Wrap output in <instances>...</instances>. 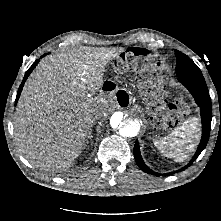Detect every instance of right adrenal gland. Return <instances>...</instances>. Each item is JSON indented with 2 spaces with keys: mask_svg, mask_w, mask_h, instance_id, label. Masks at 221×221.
<instances>
[{
  "mask_svg": "<svg viewBox=\"0 0 221 221\" xmlns=\"http://www.w3.org/2000/svg\"><path fill=\"white\" fill-rule=\"evenodd\" d=\"M91 137H92V130L89 131L87 139H91Z\"/></svg>",
  "mask_w": 221,
  "mask_h": 221,
  "instance_id": "2a0ac1e0",
  "label": "right adrenal gland"
}]
</instances>
